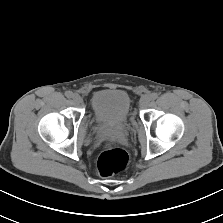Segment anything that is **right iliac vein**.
<instances>
[{
    "instance_id": "1",
    "label": "right iliac vein",
    "mask_w": 223,
    "mask_h": 223,
    "mask_svg": "<svg viewBox=\"0 0 223 223\" xmlns=\"http://www.w3.org/2000/svg\"><path fill=\"white\" fill-rule=\"evenodd\" d=\"M72 99L75 103L80 104L82 102V98L79 94H73Z\"/></svg>"
}]
</instances>
